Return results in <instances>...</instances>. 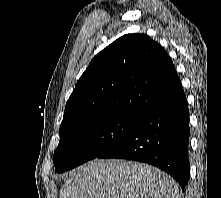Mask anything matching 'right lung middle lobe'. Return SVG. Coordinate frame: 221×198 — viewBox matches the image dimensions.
<instances>
[{
	"label": "right lung middle lobe",
	"instance_id": "right-lung-middle-lobe-1",
	"mask_svg": "<svg viewBox=\"0 0 221 198\" xmlns=\"http://www.w3.org/2000/svg\"><path fill=\"white\" fill-rule=\"evenodd\" d=\"M139 118L132 114H114L60 135L53 156L55 172L62 173L96 158L127 135Z\"/></svg>",
	"mask_w": 221,
	"mask_h": 198
}]
</instances>
